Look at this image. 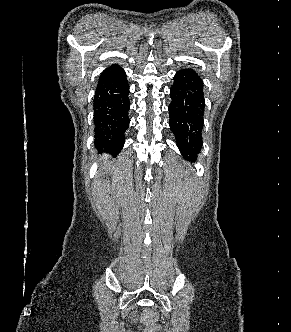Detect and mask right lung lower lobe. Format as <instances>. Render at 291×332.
<instances>
[{"instance_id": "right-lung-lower-lobe-1", "label": "right lung lower lobe", "mask_w": 291, "mask_h": 332, "mask_svg": "<svg viewBox=\"0 0 291 332\" xmlns=\"http://www.w3.org/2000/svg\"><path fill=\"white\" fill-rule=\"evenodd\" d=\"M128 95L129 84L120 66L113 64L101 73L94 96L96 146L111 147L117 153L123 148L129 127Z\"/></svg>"}]
</instances>
